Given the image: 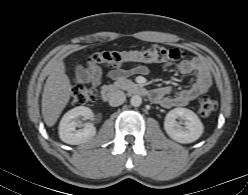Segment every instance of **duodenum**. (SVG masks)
<instances>
[{
  "label": "duodenum",
  "instance_id": "obj_1",
  "mask_svg": "<svg viewBox=\"0 0 248 195\" xmlns=\"http://www.w3.org/2000/svg\"><path fill=\"white\" fill-rule=\"evenodd\" d=\"M127 90L128 92L137 95L145 96L149 94V91L136 82L126 80L124 78H118L114 82L104 86L101 90L100 96L103 101L111 100L119 90Z\"/></svg>",
  "mask_w": 248,
  "mask_h": 195
}]
</instances>
